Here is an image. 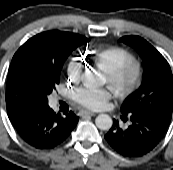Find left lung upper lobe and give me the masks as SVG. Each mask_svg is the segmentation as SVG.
I'll return each instance as SVG.
<instances>
[{"label":"left lung upper lobe","mask_w":173,"mask_h":170,"mask_svg":"<svg viewBox=\"0 0 173 170\" xmlns=\"http://www.w3.org/2000/svg\"><path fill=\"white\" fill-rule=\"evenodd\" d=\"M120 41L134 50L141 64L140 86L123 102L121 113L152 115L170 123L173 110L170 65L150 43L139 36H124Z\"/></svg>","instance_id":"1"}]
</instances>
